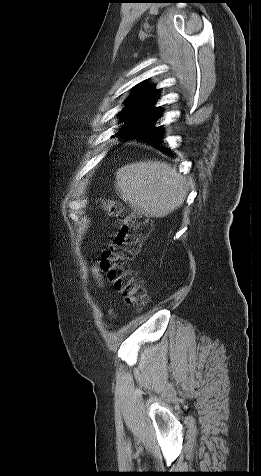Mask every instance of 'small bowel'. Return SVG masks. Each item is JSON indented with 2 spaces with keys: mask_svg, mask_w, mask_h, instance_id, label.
<instances>
[{
  "mask_svg": "<svg viewBox=\"0 0 261 476\" xmlns=\"http://www.w3.org/2000/svg\"><path fill=\"white\" fill-rule=\"evenodd\" d=\"M93 274L94 276L96 277V279L101 282L102 281V276L101 274L99 273V270H97L96 268L93 269Z\"/></svg>",
  "mask_w": 261,
  "mask_h": 476,
  "instance_id": "1",
  "label": "small bowel"
}]
</instances>
